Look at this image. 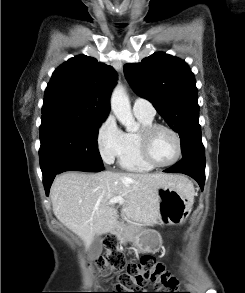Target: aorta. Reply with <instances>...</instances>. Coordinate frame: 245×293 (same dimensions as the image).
Instances as JSON below:
<instances>
[{
  "mask_svg": "<svg viewBox=\"0 0 245 293\" xmlns=\"http://www.w3.org/2000/svg\"><path fill=\"white\" fill-rule=\"evenodd\" d=\"M110 104L114 115L125 126L126 130L128 132L136 131L138 125L131 111L129 97L122 86L115 87L111 95Z\"/></svg>",
  "mask_w": 245,
  "mask_h": 293,
  "instance_id": "obj_1",
  "label": "aorta"
}]
</instances>
